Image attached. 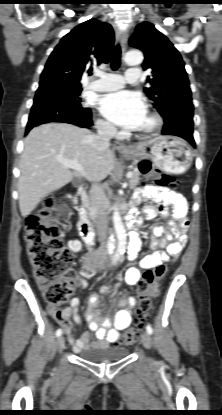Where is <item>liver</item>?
<instances>
[{"label": "liver", "mask_w": 222, "mask_h": 415, "mask_svg": "<svg viewBox=\"0 0 222 415\" xmlns=\"http://www.w3.org/2000/svg\"><path fill=\"white\" fill-rule=\"evenodd\" d=\"M91 132L67 123H48L33 128L24 141L18 181L19 208L28 216L49 193L82 174L64 167L59 158L78 162L93 180L106 178L113 169L114 152L93 148ZM143 145L139 147L142 149Z\"/></svg>", "instance_id": "obj_1"}]
</instances>
